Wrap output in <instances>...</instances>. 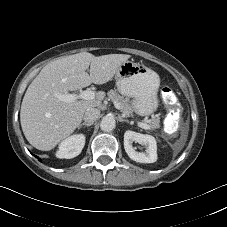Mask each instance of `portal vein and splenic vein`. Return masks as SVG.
<instances>
[{"mask_svg":"<svg viewBox=\"0 0 227 227\" xmlns=\"http://www.w3.org/2000/svg\"><path fill=\"white\" fill-rule=\"evenodd\" d=\"M57 98L61 101L66 103L73 102L77 99H84V100H94L95 99V92L89 89L81 91L79 94H56ZM115 107L120 109L118 104H115ZM138 126L143 129H150V126L147 123L137 122Z\"/></svg>","mask_w":227,"mask_h":227,"instance_id":"obj_1","label":"portal vein and splenic vein"}]
</instances>
